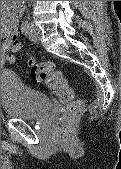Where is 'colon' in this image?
Here are the masks:
<instances>
[{
	"label": "colon",
	"mask_w": 121,
	"mask_h": 169,
	"mask_svg": "<svg viewBox=\"0 0 121 169\" xmlns=\"http://www.w3.org/2000/svg\"><path fill=\"white\" fill-rule=\"evenodd\" d=\"M5 38L7 44H2L1 48L6 49L7 62H13L14 58L8 52L19 49L16 33L8 31L5 33ZM31 76L36 82L45 84L53 95L66 104L64 115L54 128V137L59 141L66 140L71 131V121L82 110L83 103L80 100H74V92L67 79L52 62L32 61Z\"/></svg>",
	"instance_id": "1"
}]
</instances>
